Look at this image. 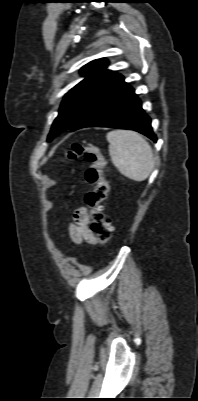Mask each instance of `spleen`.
Masks as SVG:
<instances>
[{"label":"spleen","instance_id":"3e777b00","mask_svg":"<svg viewBox=\"0 0 198 401\" xmlns=\"http://www.w3.org/2000/svg\"><path fill=\"white\" fill-rule=\"evenodd\" d=\"M109 155L113 165L125 177L141 182L154 168V156L149 143L138 133L114 130L107 133Z\"/></svg>","mask_w":198,"mask_h":401}]
</instances>
